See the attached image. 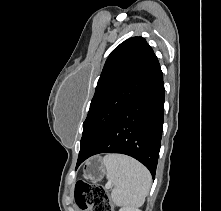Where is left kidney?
I'll return each mask as SVG.
<instances>
[{
    "mask_svg": "<svg viewBox=\"0 0 221 211\" xmlns=\"http://www.w3.org/2000/svg\"><path fill=\"white\" fill-rule=\"evenodd\" d=\"M119 211H141V210L136 208L126 207V208H121Z\"/></svg>",
    "mask_w": 221,
    "mask_h": 211,
    "instance_id": "obj_1",
    "label": "left kidney"
}]
</instances>
